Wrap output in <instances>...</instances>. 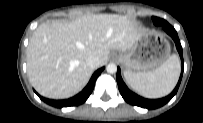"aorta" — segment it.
Listing matches in <instances>:
<instances>
[{"instance_id": "aorta-1", "label": "aorta", "mask_w": 203, "mask_h": 123, "mask_svg": "<svg viewBox=\"0 0 203 123\" xmlns=\"http://www.w3.org/2000/svg\"><path fill=\"white\" fill-rule=\"evenodd\" d=\"M106 70L110 74H114L117 72V66L114 63H110L106 66Z\"/></svg>"}]
</instances>
